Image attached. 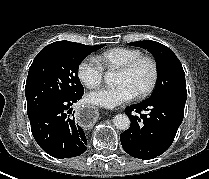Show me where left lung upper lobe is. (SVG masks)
Here are the masks:
<instances>
[{
    "instance_id": "5c2ea615",
    "label": "left lung upper lobe",
    "mask_w": 209,
    "mask_h": 179,
    "mask_svg": "<svg viewBox=\"0 0 209 179\" xmlns=\"http://www.w3.org/2000/svg\"><path fill=\"white\" fill-rule=\"evenodd\" d=\"M148 50L157 61L158 80L152 95L147 101L159 98L163 95L186 91L185 73L182 65L171 49L165 45L151 40L136 41L130 43Z\"/></svg>"
}]
</instances>
